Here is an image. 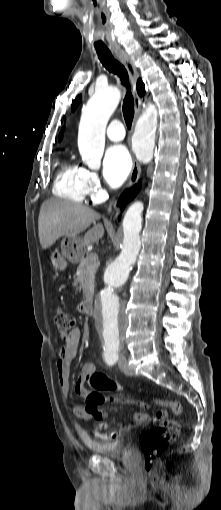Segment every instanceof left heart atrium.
<instances>
[{"instance_id":"obj_1","label":"left heart atrium","mask_w":221,"mask_h":510,"mask_svg":"<svg viewBox=\"0 0 221 510\" xmlns=\"http://www.w3.org/2000/svg\"><path fill=\"white\" fill-rule=\"evenodd\" d=\"M131 166V157L125 146L113 145L106 150L103 159V174L111 187H119L126 180Z\"/></svg>"}]
</instances>
